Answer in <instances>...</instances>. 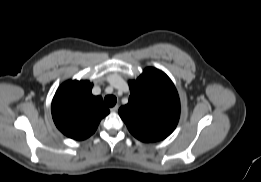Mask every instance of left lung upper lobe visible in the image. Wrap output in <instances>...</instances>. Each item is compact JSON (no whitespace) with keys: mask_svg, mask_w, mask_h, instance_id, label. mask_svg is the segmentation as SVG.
<instances>
[{"mask_svg":"<svg viewBox=\"0 0 261 182\" xmlns=\"http://www.w3.org/2000/svg\"><path fill=\"white\" fill-rule=\"evenodd\" d=\"M129 87V102L119 109V115L131 134L143 142L169 136L180 116L179 96L170 78L149 67Z\"/></svg>","mask_w":261,"mask_h":182,"instance_id":"1","label":"left lung upper lobe"}]
</instances>
